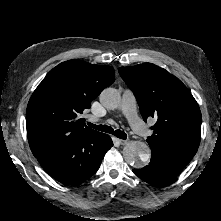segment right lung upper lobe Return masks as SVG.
I'll return each mask as SVG.
<instances>
[{
  "label": "right lung upper lobe",
  "instance_id": "1",
  "mask_svg": "<svg viewBox=\"0 0 221 221\" xmlns=\"http://www.w3.org/2000/svg\"><path fill=\"white\" fill-rule=\"evenodd\" d=\"M114 81V69L107 65L73 59L53 68L27 106V135L34 156L78 137L100 133L87 127L80 116Z\"/></svg>",
  "mask_w": 221,
  "mask_h": 221
}]
</instances>
